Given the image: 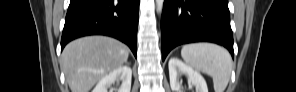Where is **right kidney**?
Instances as JSON below:
<instances>
[{
    "mask_svg": "<svg viewBox=\"0 0 296 92\" xmlns=\"http://www.w3.org/2000/svg\"><path fill=\"white\" fill-rule=\"evenodd\" d=\"M132 70L128 66H121L104 76L92 90V92H113L108 90L113 83L121 81V86L117 92H130Z\"/></svg>",
    "mask_w": 296,
    "mask_h": 92,
    "instance_id": "1",
    "label": "right kidney"
}]
</instances>
